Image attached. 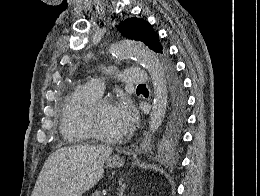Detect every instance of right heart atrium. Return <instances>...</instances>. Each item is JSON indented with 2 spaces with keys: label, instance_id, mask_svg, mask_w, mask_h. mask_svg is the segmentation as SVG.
Instances as JSON below:
<instances>
[{
  "label": "right heart atrium",
  "instance_id": "d8ad5b80",
  "mask_svg": "<svg viewBox=\"0 0 260 196\" xmlns=\"http://www.w3.org/2000/svg\"><path fill=\"white\" fill-rule=\"evenodd\" d=\"M57 192H71V190H57Z\"/></svg>",
  "mask_w": 260,
  "mask_h": 196
}]
</instances>
